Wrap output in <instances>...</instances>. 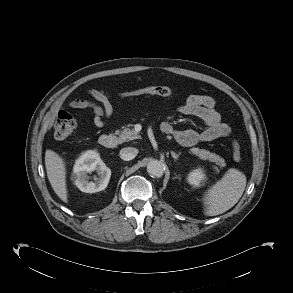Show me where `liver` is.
<instances>
[{
    "label": "liver",
    "mask_w": 293,
    "mask_h": 293,
    "mask_svg": "<svg viewBox=\"0 0 293 293\" xmlns=\"http://www.w3.org/2000/svg\"><path fill=\"white\" fill-rule=\"evenodd\" d=\"M45 166L51 187L56 195L67 203L66 167L63 158L56 152L47 149L45 152Z\"/></svg>",
    "instance_id": "liver-1"
}]
</instances>
